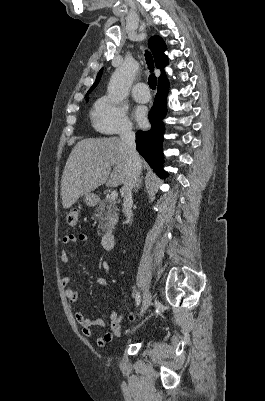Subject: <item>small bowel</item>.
<instances>
[{
	"mask_svg": "<svg viewBox=\"0 0 265 401\" xmlns=\"http://www.w3.org/2000/svg\"><path fill=\"white\" fill-rule=\"evenodd\" d=\"M90 238L86 234H68L63 237L62 242L64 245L73 244L76 242L87 243L89 242ZM60 259L64 264L69 263V253L66 250H62ZM72 281L71 276H64L62 278V284L65 287V296L68 301L72 304H75L78 300V292L70 286ZM97 284L111 288L110 283L103 277L96 278ZM75 319L79 326L81 327L82 333L85 337L90 338L93 335V327H103L105 322L103 319L100 318H92L85 316L83 313L77 311L75 312ZM110 320H111V330L106 332L105 334L99 336L97 338V344L100 347L107 345L108 343L112 342L115 338L121 337V322L123 320V314L112 310L110 313Z\"/></svg>",
	"mask_w": 265,
	"mask_h": 401,
	"instance_id": "obj_1",
	"label": "small bowel"
}]
</instances>
